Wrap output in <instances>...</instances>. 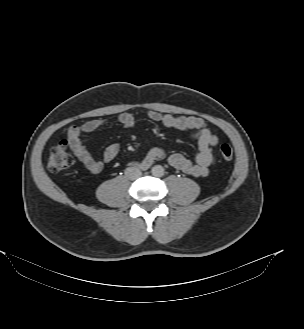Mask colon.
<instances>
[{
    "label": "colon",
    "mask_w": 304,
    "mask_h": 329,
    "mask_svg": "<svg viewBox=\"0 0 304 329\" xmlns=\"http://www.w3.org/2000/svg\"><path fill=\"white\" fill-rule=\"evenodd\" d=\"M220 155L224 160H231L233 157V149L228 144L220 146ZM74 159L69 150L66 140L61 141L54 146L48 157V168L53 173H61L66 171L73 165Z\"/></svg>",
    "instance_id": "colon-1"
}]
</instances>
